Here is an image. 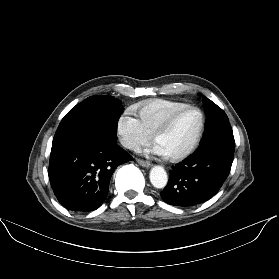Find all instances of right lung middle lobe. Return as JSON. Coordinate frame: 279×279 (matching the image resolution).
I'll return each instance as SVG.
<instances>
[{
	"instance_id": "obj_1",
	"label": "right lung middle lobe",
	"mask_w": 279,
	"mask_h": 279,
	"mask_svg": "<svg viewBox=\"0 0 279 279\" xmlns=\"http://www.w3.org/2000/svg\"><path fill=\"white\" fill-rule=\"evenodd\" d=\"M122 112L121 102L112 96L88 97L64 116L53 138L52 147L72 145L103 132L117 134V121Z\"/></svg>"
}]
</instances>
